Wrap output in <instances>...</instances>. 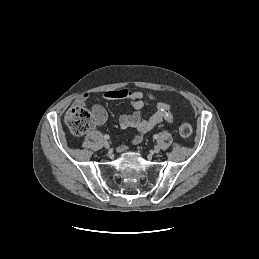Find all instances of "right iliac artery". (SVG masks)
Segmentation results:
<instances>
[{
    "label": "right iliac artery",
    "mask_w": 259,
    "mask_h": 259,
    "mask_svg": "<svg viewBox=\"0 0 259 259\" xmlns=\"http://www.w3.org/2000/svg\"><path fill=\"white\" fill-rule=\"evenodd\" d=\"M109 138H110L109 135H107V134L104 135V139H109Z\"/></svg>",
    "instance_id": "obj_1"
}]
</instances>
